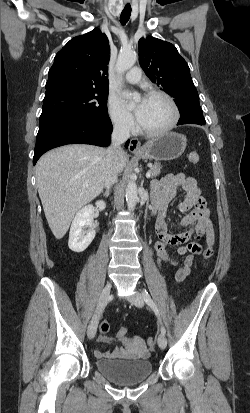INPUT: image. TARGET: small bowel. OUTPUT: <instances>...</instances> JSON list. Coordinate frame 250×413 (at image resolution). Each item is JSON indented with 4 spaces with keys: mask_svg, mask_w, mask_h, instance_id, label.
<instances>
[{
    "mask_svg": "<svg viewBox=\"0 0 250 413\" xmlns=\"http://www.w3.org/2000/svg\"><path fill=\"white\" fill-rule=\"evenodd\" d=\"M154 198L153 205L158 214L154 231V248L157 261L168 262L178 266L175 279L183 281L191 272L195 257L202 252L199 239L206 237L208 244H214V230L209 219V212L205 200L201 196V188L197 180L183 173L168 174L161 179L155 180L151 186ZM178 190L185 192L179 203V209L186 214L177 223L178 226L187 227L185 231L170 233L165 222V213L169 203L175 197ZM175 248V252H171ZM125 344L124 348L115 347L111 351L96 349L94 354L98 358H146L149 350L145 341L140 336L131 339H120ZM100 342H112L105 335L99 337Z\"/></svg>",
    "mask_w": 250,
    "mask_h": 413,
    "instance_id": "1",
    "label": "small bowel"
}]
</instances>
